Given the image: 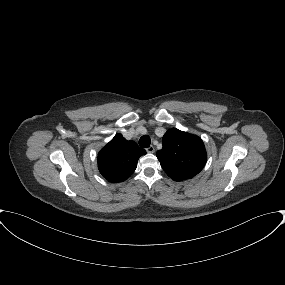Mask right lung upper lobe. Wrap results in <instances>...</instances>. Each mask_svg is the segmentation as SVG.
Segmentation results:
<instances>
[{
    "mask_svg": "<svg viewBox=\"0 0 285 285\" xmlns=\"http://www.w3.org/2000/svg\"><path fill=\"white\" fill-rule=\"evenodd\" d=\"M145 154L134 141L116 134L99 152L98 169L108 181L123 182L135 171L139 157Z\"/></svg>",
    "mask_w": 285,
    "mask_h": 285,
    "instance_id": "right-lung-upper-lobe-1",
    "label": "right lung upper lobe"
}]
</instances>
